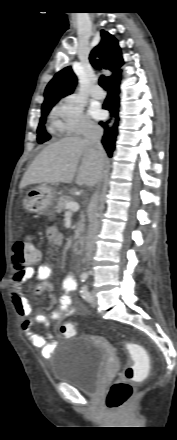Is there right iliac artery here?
I'll use <instances>...</instances> for the list:
<instances>
[{
	"label": "right iliac artery",
	"mask_w": 177,
	"mask_h": 440,
	"mask_svg": "<svg viewBox=\"0 0 177 440\" xmlns=\"http://www.w3.org/2000/svg\"><path fill=\"white\" fill-rule=\"evenodd\" d=\"M87 277H88V275L86 273L81 274V276H80L81 282H85Z\"/></svg>",
	"instance_id": "82829eb1"
}]
</instances>
